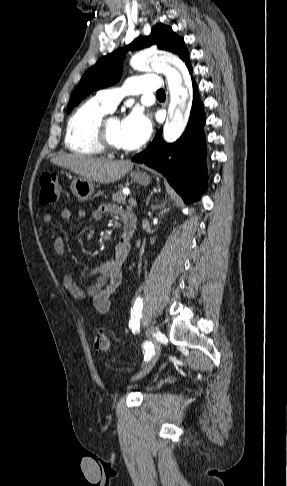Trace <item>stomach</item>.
<instances>
[{
    "mask_svg": "<svg viewBox=\"0 0 287 486\" xmlns=\"http://www.w3.org/2000/svg\"><path fill=\"white\" fill-rule=\"evenodd\" d=\"M132 180L142 186H147L151 182L150 176L140 170L131 172L130 174ZM70 189L73 195L80 201L89 200L94 193V182L86 178L74 179L71 183Z\"/></svg>",
    "mask_w": 287,
    "mask_h": 486,
    "instance_id": "0dacf381",
    "label": "stomach"
}]
</instances>
